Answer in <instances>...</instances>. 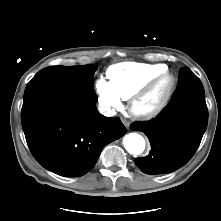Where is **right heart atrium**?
I'll list each match as a JSON object with an SVG mask.
<instances>
[{
    "label": "right heart atrium",
    "mask_w": 221,
    "mask_h": 221,
    "mask_svg": "<svg viewBox=\"0 0 221 221\" xmlns=\"http://www.w3.org/2000/svg\"><path fill=\"white\" fill-rule=\"evenodd\" d=\"M95 90L101 110L113 116L121 108V98L109 82L100 78L95 83Z\"/></svg>",
    "instance_id": "d8ad5b80"
}]
</instances>
